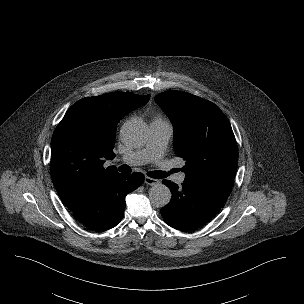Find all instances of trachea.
I'll list each match as a JSON object with an SVG mask.
<instances>
[{
	"mask_svg": "<svg viewBox=\"0 0 304 304\" xmlns=\"http://www.w3.org/2000/svg\"><path fill=\"white\" fill-rule=\"evenodd\" d=\"M120 172L129 173L131 172V168L128 165H122L119 167ZM171 172H176L175 169H172ZM148 176L155 179H161L168 176V174L165 171H151L148 172Z\"/></svg>",
	"mask_w": 304,
	"mask_h": 304,
	"instance_id": "3493384b",
	"label": "trachea"
}]
</instances>
